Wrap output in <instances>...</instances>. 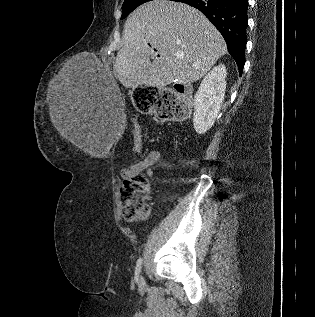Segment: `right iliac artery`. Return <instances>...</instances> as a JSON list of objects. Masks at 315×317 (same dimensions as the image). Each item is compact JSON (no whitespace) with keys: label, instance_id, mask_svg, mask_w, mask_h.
Returning <instances> with one entry per match:
<instances>
[{"label":"right iliac artery","instance_id":"82829eb1","mask_svg":"<svg viewBox=\"0 0 315 317\" xmlns=\"http://www.w3.org/2000/svg\"><path fill=\"white\" fill-rule=\"evenodd\" d=\"M142 268V258H139L137 263H136V268H135V274L138 277Z\"/></svg>","mask_w":315,"mask_h":317}]
</instances>
